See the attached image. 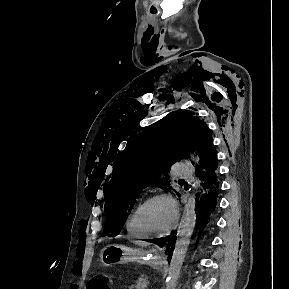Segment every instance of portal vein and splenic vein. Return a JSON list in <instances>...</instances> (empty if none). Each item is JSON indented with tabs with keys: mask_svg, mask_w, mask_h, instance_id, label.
Returning a JSON list of instances; mask_svg holds the SVG:
<instances>
[{
	"mask_svg": "<svg viewBox=\"0 0 289 289\" xmlns=\"http://www.w3.org/2000/svg\"><path fill=\"white\" fill-rule=\"evenodd\" d=\"M146 287H147V284L144 285V288H146Z\"/></svg>",
	"mask_w": 289,
	"mask_h": 289,
	"instance_id": "obj_1",
	"label": "portal vein and splenic vein"
}]
</instances>
